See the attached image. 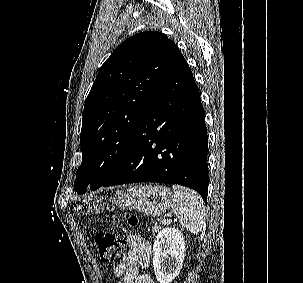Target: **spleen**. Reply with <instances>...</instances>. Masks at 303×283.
I'll return each mask as SVG.
<instances>
[{
    "mask_svg": "<svg viewBox=\"0 0 303 283\" xmlns=\"http://www.w3.org/2000/svg\"><path fill=\"white\" fill-rule=\"evenodd\" d=\"M172 211L178 216L182 228L198 234L204 224V203L201 196L179 185H173Z\"/></svg>",
    "mask_w": 303,
    "mask_h": 283,
    "instance_id": "1",
    "label": "spleen"
}]
</instances>
